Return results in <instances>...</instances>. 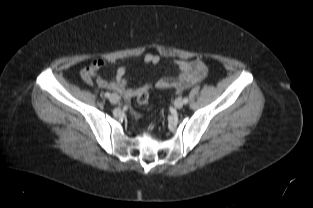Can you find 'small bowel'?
Listing matches in <instances>:
<instances>
[{
  "mask_svg": "<svg viewBox=\"0 0 313 208\" xmlns=\"http://www.w3.org/2000/svg\"><path fill=\"white\" fill-rule=\"evenodd\" d=\"M142 60L146 64L156 65L160 62V57L152 53H147L144 55ZM104 65L105 61L101 59L93 60L87 67L81 70L80 75L82 80L87 85H92L93 81L96 80L97 84L101 88L115 91L126 99H131L135 97L140 91L146 90L148 88V85L135 88L128 87V81L125 77L126 68L124 66H120L116 69L115 75L112 79H106L100 76L99 71ZM175 65L180 71L178 79H160L155 83L157 88L167 89L173 87L181 91L198 82H201L207 76V67L200 60H177Z\"/></svg>",
  "mask_w": 313,
  "mask_h": 208,
  "instance_id": "c3829d8e",
  "label": "small bowel"
}]
</instances>
